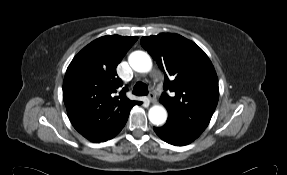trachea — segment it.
<instances>
[{
    "instance_id": "1",
    "label": "trachea",
    "mask_w": 287,
    "mask_h": 175,
    "mask_svg": "<svg viewBox=\"0 0 287 175\" xmlns=\"http://www.w3.org/2000/svg\"><path fill=\"white\" fill-rule=\"evenodd\" d=\"M132 93L137 96H145L148 94V87L143 82H137L133 88Z\"/></svg>"
}]
</instances>
